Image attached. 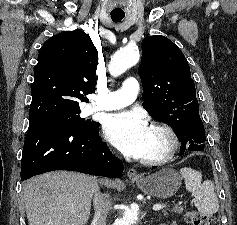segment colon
I'll use <instances>...</instances> for the list:
<instances>
[{"mask_svg":"<svg viewBox=\"0 0 237 225\" xmlns=\"http://www.w3.org/2000/svg\"><path fill=\"white\" fill-rule=\"evenodd\" d=\"M185 220L189 225H219L212 215L201 214L196 211H188Z\"/></svg>","mask_w":237,"mask_h":225,"instance_id":"5ec220e1","label":"colon"}]
</instances>
